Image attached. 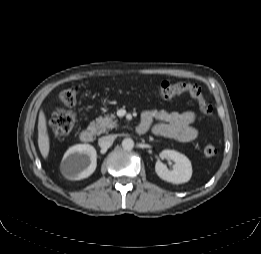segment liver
Wrapping results in <instances>:
<instances>
[{"mask_svg": "<svg viewBox=\"0 0 261 254\" xmlns=\"http://www.w3.org/2000/svg\"><path fill=\"white\" fill-rule=\"evenodd\" d=\"M38 146L43 158H47L50 149L49 136L47 133L46 118L41 111L38 119Z\"/></svg>", "mask_w": 261, "mask_h": 254, "instance_id": "1", "label": "liver"}]
</instances>
